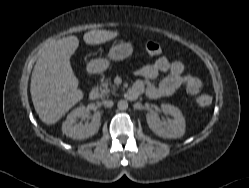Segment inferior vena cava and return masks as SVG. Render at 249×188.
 I'll return each mask as SVG.
<instances>
[{
  "instance_id": "obj_1",
  "label": "inferior vena cava",
  "mask_w": 249,
  "mask_h": 188,
  "mask_svg": "<svg viewBox=\"0 0 249 188\" xmlns=\"http://www.w3.org/2000/svg\"><path fill=\"white\" fill-rule=\"evenodd\" d=\"M113 104H114V102L112 100H105V101H103V105L105 107H112Z\"/></svg>"
}]
</instances>
